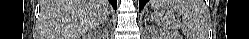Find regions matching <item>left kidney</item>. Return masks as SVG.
Masks as SVG:
<instances>
[{"mask_svg": "<svg viewBox=\"0 0 249 39\" xmlns=\"http://www.w3.org/2000/svg\"><path fill=\"white\" fill-rule=\"evenodd\" d=\"M155 38L156 39H176V36L172 34H168V32L166 31L157 30L155 32Z\"/></svg>", "mask_w": 249, "mask_h": 39, "instance_id": "left-kidney-1", "label": "left kidney"}]
</instances>
